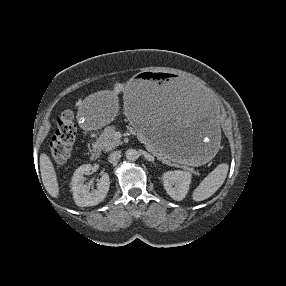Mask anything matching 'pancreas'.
<instances>
[{
  "label": "pancreas",
  "mask_w": 286,
  "mask_h": 286,
  "mask_svg": "<svg viewBox=\"0 0 286 286\" xmlns=\"http://www.w3.org/2000/svg\"><path fill=\"white\" fill-rule=\"evenodd\" d=\"M116 127L115 126H108L104 129V131L100 134V136L96 139V141L92 144L94 149L100 151H111L112 149L116 148L117 146L122 144L120 139L115 137ZM133 134H136L139 141H141L154 156H156L159 160L163 163L172 165L171 160L160 153L152 144L151 142L145 138L142 134L136 133L132 130ZM195 175H199L198 172L192 171Z\"/></svg>",
  "instance_id": "obj_1"
}]
</instances>
